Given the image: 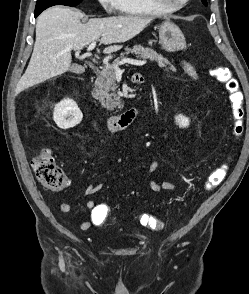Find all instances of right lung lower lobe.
I'll return each mask as SVG.
<instances>
[{"instance_id": "right-lung-lower-lobe-1", "label": "right lung lower lobe", "mask_w": 249, "mask_h": 294, "mask_svg": "<svg viewBox=\"0 0 249 294\" xmlns=\"http://www.w3.org/2000/svg\"><path fill=\"white\" fill-rule=\"evenodd\" d=\"M42 11L41 10H38V11H35V17H37Z\"/></svg>"}]
</instances>
